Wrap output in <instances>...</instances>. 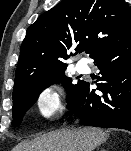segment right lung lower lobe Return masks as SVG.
<instances>
[{"label":"right lung lower lobe","mask_w":131,"mask_h":151,"mask_svg":"<svg viewBox=\"0 0 131 151\" xmlns=\"http://www.w3.org/2000/svg\"><path fill=\"white\" fill-rule=\"evenodd\" d=\"M90 57L102 75L98 92L81 80L68 109L89 126L131 131V32L97 49Z\"/></svg>","instance_id":"right-lung-lower-lobe-1"}]
</instances>
